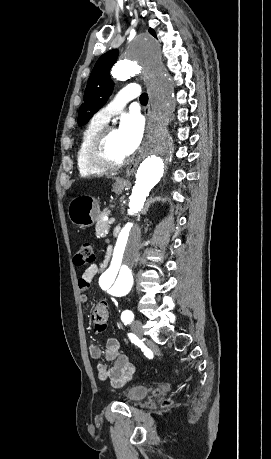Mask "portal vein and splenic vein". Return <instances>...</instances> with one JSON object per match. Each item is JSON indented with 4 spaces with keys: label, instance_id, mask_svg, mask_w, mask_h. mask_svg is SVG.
I'll return each instance as SVG.
<instances>
[{
    "label": "portal vein and splenic vein",
    "instance_id": "obj_1",
    "mask_svg": "<svg viewBox=\"0 0 271 459\" xmlns=\"http://www.w3.org/2000/svg\"><path fill=\"white\" fill-rule=\"evenodd\" d=\"M115 218H116L115 216L113 217V219L110 218V219H109V220H110V221H109V224H113V221L115 220ZM111 220H113V221H111Z\"/></svg>",
    "mask_w": 271,
    "mask_h": 459
}]
</instances>
